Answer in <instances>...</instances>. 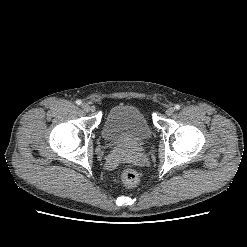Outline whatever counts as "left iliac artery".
Masks as SVG:
<instances>
[{"mask_svg":"<svg viewBox=\"0 0 247 247\" xmlns=\"http://www.w3.org/2000/svg\"><path fill=\"white\" fill-rule=\"evenodd\" d=\"M175 109H176V110H179V109H180V105H178V104L175 105Z\"/></svg>","mask_w":247,"mask_h":247,"instance_id":"obj_1","label":"left iliac artery"}]
</instances>
